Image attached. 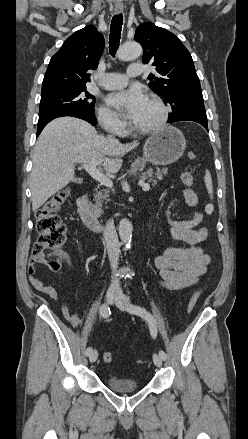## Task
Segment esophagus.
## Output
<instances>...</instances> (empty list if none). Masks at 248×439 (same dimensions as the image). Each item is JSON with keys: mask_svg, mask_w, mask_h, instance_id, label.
Returning a JSON list of instances; mask_svg holds the SVG:
<instances>
[{"mask_svg": "<svg viewBox=\"0 0 248 439\" xmlns=\"http://www.w3.org/2000/svg\"><path fill=\"white\" fill-rule=\"evenodd\" d=\"M122 11H123V5L121 4L115 5V12L117 14L121 13Z\"/></svg>", "mask_w": 248, "mask_h": 439, "instance_id": "34e87169", "label": "esophagus"}]
</instances>
